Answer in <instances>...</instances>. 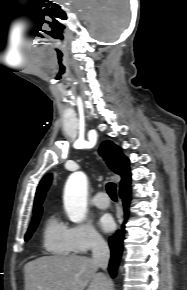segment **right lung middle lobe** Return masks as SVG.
I'll return each mask as SVG.
<instances>
[{
  "label": "right lung middle lobe",
  "instance_id": "obj_1",
  "mask_svg": "<svg viewBox=\"0 0 187 290\" xmlns=\"http://www.w3.org/2000/svg\"><path fill=\"white\" fill-rule=\"evenodd\" d=\"M40 217H41V215H38L34 220H32V223L28 229V232L25 235V241H27L31 237L32 233L35 231V229L39 223Z\"/></svg>",
  "mask_w": 187,
  "mask_h": 290
}]
</instances>
